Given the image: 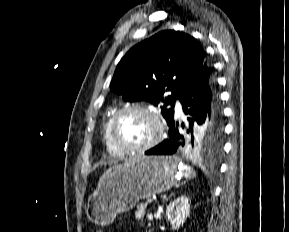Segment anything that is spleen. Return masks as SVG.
Wrapping results in <instances>:
<instances>
[{"mask_svg": "<svg viewBox=\"0 0 289 232\" xmlns=\"http://www.w3.org/2000/svg\"><path fill=\"white\" fill-rule=\"evenodd\" d=\"M185 173L184 176L186 178L195 177L196 173L191 167H184Z\"/></svg>", "mask_w": 289, "mask_h": 232, "instance_id": "obj_1", "label": "spleen"}]
</instances>
